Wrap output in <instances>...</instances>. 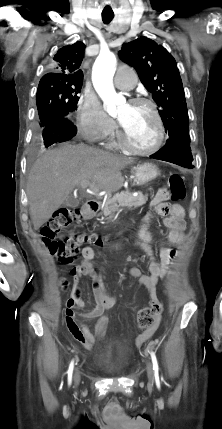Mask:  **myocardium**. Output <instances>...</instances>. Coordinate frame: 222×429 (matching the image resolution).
<instances>
[{"label": "myocardium", "mask_w": 222, "mask_h": 429, "mask_svg": "<svg viewBox=\"0 0 222 429\" xmlns=\"http://www.w3.org/2000/svg\"><path fill=\"white\" fill-rule=\"evenodd\" d=\"M130 103L145 105L150 109V111H151V113L155 119L156 126H157V139H156L155 144L150 148H147V149L137 148L136 146H134L129 141L125 130L123 129L122 125L119 124V130H118L119 141H120L121 145L126 150H128L129 152H131L133 154L140 155V156L152 155V154L156 153L157 151H159L160 148L162 147L163 143H164L165 126H164V122L162 120V117H161L156 105L154 104V102L148 98L135 97V98L131 99Z\"/></svg>", "instance_id": "1"}]
</instances>
